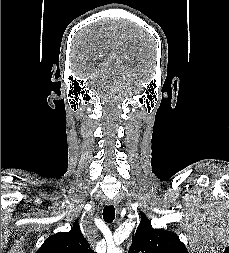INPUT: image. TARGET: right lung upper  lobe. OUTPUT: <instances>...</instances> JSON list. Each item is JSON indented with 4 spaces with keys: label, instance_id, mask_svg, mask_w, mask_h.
<instances>
[{
    "label": "right lung upper lobe",
    "instance_id": "obj_1",
    "mask_svg": "<svg viewBox=\"0 0 229 253\" xmlns=\"http://www.w3.org/2000/svg\"><path fill=\"white\" fill-rule=\"evenodd\" d=\"M37 253H95L91 250L76 221L70 232L48 237Z\"/></svg>",
    "mask_w": 229,
    "mask_h": 253
}]
</instances>
